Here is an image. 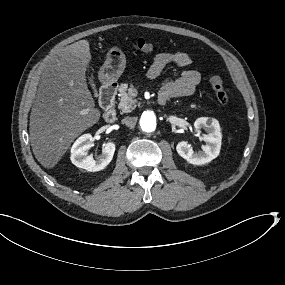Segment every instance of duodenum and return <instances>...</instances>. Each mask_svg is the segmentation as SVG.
<instances>
[{
	"mask_svg": "<svg viewBox=\"0 0 285 285\" xmlns=\"http://www.w3.org/2000/svg\"><path fill=\"white\" fill-rule=\"evenodd\" d=\"M117 83L108 82L103 85L100 92V104L102 105L103 118L106 122H113L116 119V109H115V96L117 93Z\"/></svg>",
	"mask_w": 285,
	"mask_h": 285,
	"instance_id": "duodenum-1",
	"label": "duodenum"
}]
</instances>
